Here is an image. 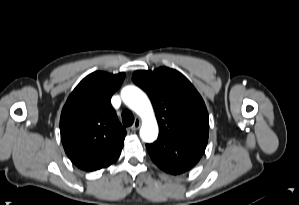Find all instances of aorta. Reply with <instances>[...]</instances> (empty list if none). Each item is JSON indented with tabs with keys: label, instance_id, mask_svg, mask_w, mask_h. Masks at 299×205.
Returning a JSON list of instances; mask_svg holds the SVG:
<instances>
[{
	"label": "aorta",
	"instance_id": "762f6f07",
	"mask_svg": "<svg viewBox=\"0 0 299 205\" xmlns=\"http://www.w3.org/2000/svg\"><path fill=\"white\" fill-rule=\"evenodd\" d=\"M124 103L134 110L143 120L140 137L145 142H153L158 136V124L152 105L146 94L135 86H126L121 91Z\"/></svg>",
	"mask_w": 299,
	"mask_h": 205
}]
</instances>
